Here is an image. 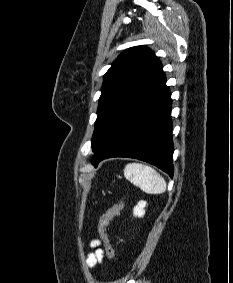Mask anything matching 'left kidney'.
Here are the masks:
<instances>
[{"label":"left kidney","mask_w":233,"mask_h":283,"mask_svg":"<svg viewBox=\"0 0 233 283\" xmlns=\"http://www.w3.org/2000/svg\"><path fill=\"white\" fill-rule=\"evenodd\" d=\"M146 206V202L144 201H140L134 208L133 210V214L134 216H138V217H143V215L145 214V208Z\"/></svg>","instance_id":"5707ae66"}]
</instances>
